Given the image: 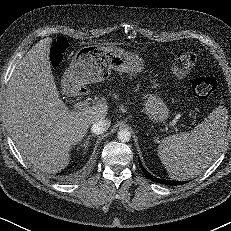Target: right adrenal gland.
Returning a JSON list of instances; mask_svg holds the SVG:
<instances>
[{"label":"right adrenal gland","mask_w":231,"mask_h":231,"mask_svg":"<svg viewBox=\"0 0 231 231\" xmlns=\"http://www.w3.org/2000/svg\"><path fill=\"white\" fill-rule=\"evenodd\" d=\"M92 136H95V135H89L84 141H83V147H84V151H86L89 147V140Z\"/></svg>","instance_id":"1"}]
</instances>
